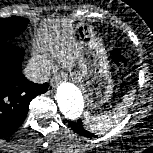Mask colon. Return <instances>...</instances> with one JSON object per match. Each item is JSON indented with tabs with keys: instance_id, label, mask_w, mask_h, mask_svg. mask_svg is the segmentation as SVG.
Instances as JSON below:
<instances>
[{
	"instance_id": "1",
	"label": "colon",
	"mask_w": 153,
	"mask_h": 153,
	"mask_svg": "<svg viewBox=\"0 0 153 153\" xmlns=\"http://www.w3.org/2000/svg\"><path fill=\"white\" fill-rule=\"evenodd\" d=\"M111 59L113 65L118 70H124L127 67V60L125 56L122 54V52L119 49H113L111 53Z\"/></svg>"
}]
</instances>
